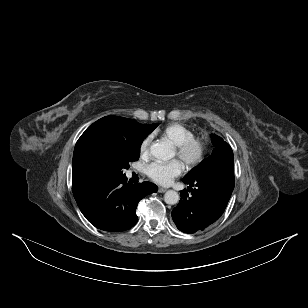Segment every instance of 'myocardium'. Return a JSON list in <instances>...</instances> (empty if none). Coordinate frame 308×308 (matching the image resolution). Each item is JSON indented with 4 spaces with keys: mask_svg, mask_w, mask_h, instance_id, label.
Here are the masks:
<instances>
[{
    "mask_svg": "<svg viewBox=\"0 0 308 308\" xmlns=\"http://www.w3.org/2000/svg\"><path fill=\"white\" fill-rule=\"evenodd\" d=\"M208 151L207 140L202 136H192L180 145L175 147L177 157H179L188 168L200 165Z\"/></svg>",
    "mask_w": 308,
    "mask_h": 308,
    "instance_id": "obj_1",
    "label": "myocardium"
}]
</instances>
